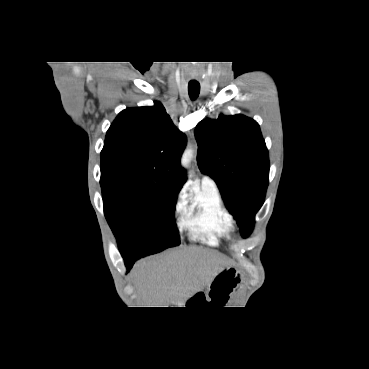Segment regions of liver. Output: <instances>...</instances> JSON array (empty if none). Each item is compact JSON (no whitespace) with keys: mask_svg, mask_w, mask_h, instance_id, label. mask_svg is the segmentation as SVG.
I'll list each match as a JSON object with an SVG mask.
<instances>
[{"mask_svg":"<svg viewBox=\"0 0 369 369\" xmlns=\"http://www.w3.org/2000/svg\"><path fill=\"white\" fill-rule=\"evenodd\" d=\"M222 258L209 250L187 247L138 262L135 283L145 307L182 305L192 293L208 285L222 270Z\"/></svg>","mask_w":369,"mask_h":369,"instance_id":"obj_1","label":"liver"}]
</instances>
